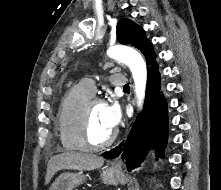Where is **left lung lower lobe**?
Segmentation results:
<instances>
[{
    "label": "left lung lower lobe",
    "instance_id": "1",
    "mask_svg": "<svg viewBox=\"0 0 221 190\" xmlns=\"http://www.w3.org/2000/svg\"><path fill=\"white\" fill-rule=\"evenodd\" d=\"M147 87L142 114L135 121L124 144L122 159L125 158L127 169L138 167L145 152L152 147L156 156L163 158L168 136L167 101L161 92V75L157 62L147 68ZM122 151V144L103 153L108 159L117 157Z\"/></svg>",
    "mask_w": 221,
    "mask_h": 190
}]
</instances>
